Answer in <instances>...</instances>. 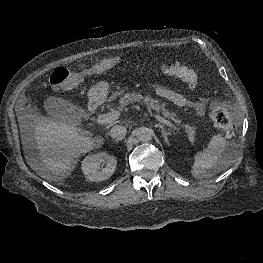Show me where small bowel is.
I'll list each match as a JSON object with an SVG mask.
<instances>
[{"mask_svg": "<svg viewBox=\"0 0 263 263\" xmlns=\"http://www.w3.org/2000/svg\"><path fill=\"white\" fill-rule=\"evenodd\" d=\"M155 92L159 96L170 100L180 107L189 106L193 108L199 115H203L205 113L206 103L204 101H192L185 95L177 93L163 86H156Z\"/></svg>", "mask_w": 263, "mask_h": 263, "instance_id": "c3829d8e", "label": "small bowel"}]
</instances>
